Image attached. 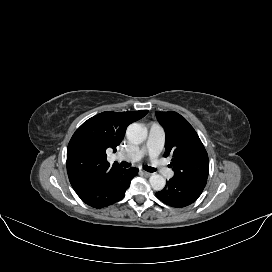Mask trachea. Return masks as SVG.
Returning a JSON list of instances; mask_svg holds the SVG:
<instances>
[{"instance_id": "1", "label": "trachea", "mask_w": 272, "mask_h": 272, "mask_svg": "<svg viewBox=\"0 0 272 272\" xmlns=\"http://www.w3.org/2000/svg\"><path fill=\"white\" fill-rule=\"evenodd\" d=\"M121 166L124 167V168H128V167L131 166V164L126 162V161H122ZM143 169L146 170L147 172H155L156 171V169L154 167H150V166H147V165H144Z\"/></svg>"}]
</instances>
